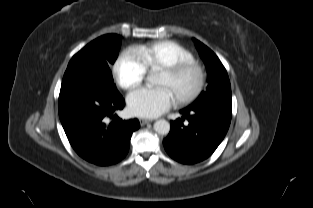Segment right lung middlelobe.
Instances as JSON below:
<instances>
[{
	"mask_svg": "<svg viewBox=\"0 0 313 208\" xmlns=\"http://www.w3.org/2000/svg\"><path fill=\"white\" fill-rule=\"evenodd\" d=\"M120 45V36L116 34L95 39L72 57L63 78L77 73L81 77L99 82L112 93H119L110 68L118 56Z\"/></svg>",
	"mask_w": 313,
	"mask_h": 208,
	"instance_id": "obj_1",
	"label": "right lung middle lobe"
}]
</instances>
